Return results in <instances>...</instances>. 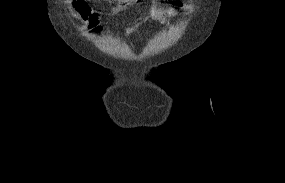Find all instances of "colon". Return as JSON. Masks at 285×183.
<instances>
[{"label": "colon", "instance_id": "colon-1", "mask_svg": "<svg viewBox=\"0 0 285 183\" xmlns=\"http://www.w3.org/2000/svg\"><path fill=\"white\" fill-rule=\"evenodd\" d=\"M176 4L180 3V0H173ZM76 10L80 14V16L83 18L85 22L88 23L89 28L92 31H98V19L97 17L91 13L89 6L86 4L85 1L79 0L76 2Z\"/></svg>", "mask_w": 285, "mask_h": 183}]
</instances>
